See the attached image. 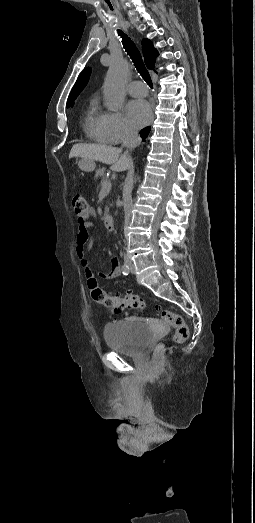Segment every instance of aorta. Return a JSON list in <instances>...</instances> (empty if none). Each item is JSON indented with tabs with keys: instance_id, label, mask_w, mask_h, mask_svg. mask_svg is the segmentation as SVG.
<instances>
[{
	"instance_id": "762f6f07",
	"label": "aorta",
	"mask_w": 255,
	"mask_h": 523,
	"mask_svg": "<svg viewBox=\"0 0 255 523\" xmlns=\"http://www.w3.org/2000/svg\"><path fill=\"white\" fill-rule=\"evenodd\" d=\"M128 72V63L124 60L114 61L108 69L104 82L103 93L105 103L112 111L119 110L123 104L125 97L124 87ZM136 181L137 176L135 175L132 179V187L130 191L125 193V197H127L132 192L133 184H135Z\"/></svg>"
}]
</instances>
